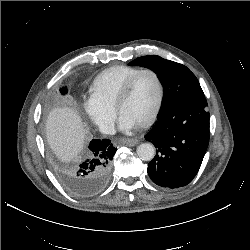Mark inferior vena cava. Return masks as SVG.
<instances>
[{"mask_svg":"<svg viewBox=\"0 0 250 250\" xmlns=\"http://www.w3.org/2000/svg\"><path fill=\"white\" fill-rule=\"evenodd\" d=\"M100 131L104 134L113 135L116 133L113 123L105 122L100 125Z\"/></svg>","mask_w":250,"mask_h":250,"instance_id":"1","label":"inferior vena cava"}]
</instances>
